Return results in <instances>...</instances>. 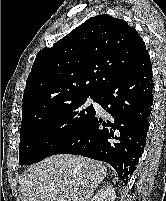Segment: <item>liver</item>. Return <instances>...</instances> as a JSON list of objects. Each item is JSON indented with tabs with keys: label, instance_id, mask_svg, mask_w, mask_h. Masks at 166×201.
<instances>
[{
	"label": "liver",
	"instance_id": "6515ba94",
	"mask_svg": "<svg viewBox=\"0 0 166 201\" xmlns=\"http://www.w3.org/2000/svg\"><path fill=\"white\" fill-rule=\"evenodd\" d=\"M106 175L101 162L71 154L53 155L21 176L22 201H89Z\"/></svg>",
	"mask_w": 166,
	"mask_h": 201
}]
</instances>
